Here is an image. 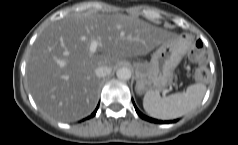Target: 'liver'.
Listing matches in <instances>:
<instances>
[{"instance_id": "1", "label": "liver", "mask_w": 238, "mask_h": 145, "mask_svg": "<svg viewBox=\"0 0 238 145\" xmlns=\"http://www.w3.org/2000/svg\"><path fill=\"white\" fill-rule=\"evenodd\" d=\"M169 33L123 14L72 13L52 22L37 37L27 62L30 93L45 114L60 121L89 115L98 100L99 66L147 55ZM98 47L90 52L91 41Z\"/></svg>"}]
</instances>
